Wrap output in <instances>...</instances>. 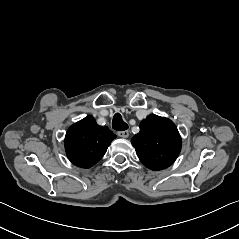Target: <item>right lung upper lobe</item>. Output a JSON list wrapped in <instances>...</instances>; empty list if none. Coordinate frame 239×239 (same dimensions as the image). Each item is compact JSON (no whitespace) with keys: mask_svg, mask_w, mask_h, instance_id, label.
<instances>
[{"mask_svg":"<svg viewBox=\"0 0 239 239\" xmlns=\"http://www.w3.org/2000/svg\"><path fill=\"white\" fill-rule=\"evenodd\" d=\"M116 135L106 126H99L93 116L73 124L65 136L69 160L76 166L90 168L106 153Z\"/></svg>","mask_w":239,"mask_h":239,"instance_id":"obj_1","label":"right lung upper lobe"}]
</instances>
